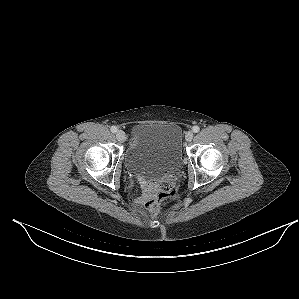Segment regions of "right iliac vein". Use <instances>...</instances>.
I'll use <instances>...</instances> for the list:
<instances>
[{"label":"right iliac vein","mask_w":299,"mask_h":299,"mask_svg":"<svg viewBox=\"0 0 299 299\" xmlns=\"http://www.w3.org/2000/svg\"><path fill=\"white\" fill-rule=\"evenodd\" d=\"M116 138L119 142H124L125 140V133L122 130H118L116 132Z\"/></svg>","instance_id":"1"}]
</instances>
